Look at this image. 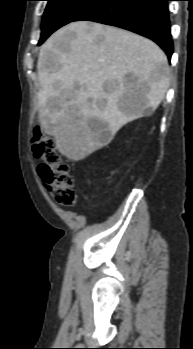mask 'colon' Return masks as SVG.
<instances>
[{"label":"colon","mask_w":193,"mask_h":349,"mask_svg":"<svg viewBox=\"0 0 193 349\" xmlns=\"http://www.w3.org/2000/svg\"><path fill=\"white\" fill-rule=\"evenodd\" d=\"M31 142L34 156L41 161L38 172L44 185L57 203L74 205L76 192L70 167L57 153L54 139L35 128Z\"/></svg>","instance_id":"1"}]
</instances>
